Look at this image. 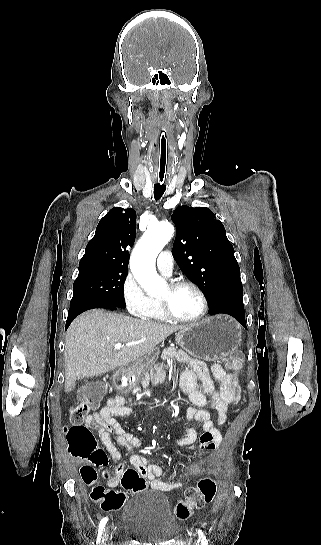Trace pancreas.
Wrapping results in <instances>:
<instances>
[{
  "label": "pancreas",
  "mask_w": 321,
  "mask_h": 545,
  "mask_svg": "<svg viewBox=\"0 0 321 545\" xmlns=\"http://www.w3.org/2000/svg\"><path fill=\"white\" fill-rule=\"evenodd\" d=\"M164 369H168L167 365L158 363V365H154L149 371H131V369H128V371H125L124 375H128L129 377H133L134 375L137 383H141L142 387L146 389L150 381H154V383H163V381H165L166 371H164Z\"/></svg>",
  "instance_id": "cf45deb5"
}]
</instances>
